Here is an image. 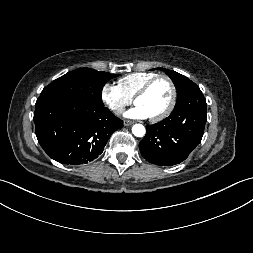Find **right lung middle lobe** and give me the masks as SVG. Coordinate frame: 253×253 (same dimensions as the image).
Here are the masks:
<instances>
[{
  "mask_svg": "<svg viewBox=\"0 0 253 253\" xmlns=\"http://www.w3.org/2000/svg\"><path fill=\"white\" fill-rule=\"evenodd\" d=\"M118 74L80 68L59 77L43 89L41 95L60 96L82 102L104 105L101 92L104 85Z\"/></svg>",
  "mask_w": 253,
  "mask_h": 253,
  "instance_id": "right-lung-middle-lobe-1",
  "label": "right lung middle lobe"
}]
</instances>
